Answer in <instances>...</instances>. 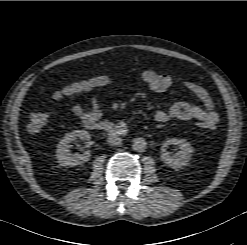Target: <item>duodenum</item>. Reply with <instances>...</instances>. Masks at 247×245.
<instances>
[{
  "label": "duodenum",
  "instance_id": "410a0bca",
  "mask_svg": "<svg viewBox=\"0 0 247 245\" xmlns=\"http://www.w3.org/2000/svg\"><path fill=\"white\" fill-rule=\"evenodd\" d=\"M86 127L90 130L103 131L119 137H123L128 133L127 127L121 123L94 121L86 123Z\"/></svg>",
  "mask_w": 247,
  "mask_h": 245
}]
</instances>
